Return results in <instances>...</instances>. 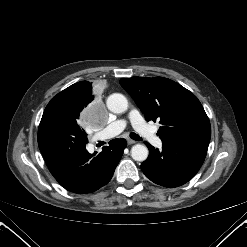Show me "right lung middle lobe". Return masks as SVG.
<instances>
[{"instance_id": "dd1d6c3e", "label": "right lung middle lobe", "mask_w": 247, "mask_h": 247, "mask_svg": "<svg viewBox=\"0 0 247 247\" xmlns=\"http://www.w3.org/2000/svg\"><path fill=\"white\" fill-rule=\"evenodd\" d=\"M90 99H94V95L91 98H82L71 91L63 90L51 99L43 115H54L77 122L79 110Z\"/></svg>"}]
</instances>
